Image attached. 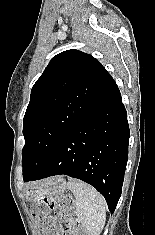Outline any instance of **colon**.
I'll return each mask as SVG.
<instances>
[{
	"mask_svg": "<svg viewBox=\"0 0 155 235\" xmlns=\"http://www.w3.org/2000/svg\"><path fill=\"white\" fill-rule=\"evenodd\" d=\"M72 210L73 201L69 197L44 195L34 209V216L44 228L45 235H60L58 220L67 222V227L61 235H86L83 226L72 220Z\"/></svg>",
	"mask_w": 155,
	"mask_h": 235,
	"instance_id": "obj_1",
	"label": "colon"
}]
</instances>
